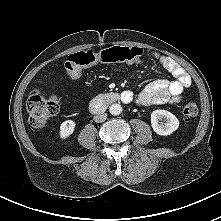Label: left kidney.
<instances>
[{"label": "left kidney", "instance_id": "1", "mask_svg": "<svg viewBox=\"0 0 221 221\" xmlns=\"http://www.w3.org/2000/svg\"><path fill=\"white\" fill-rule=\"evenodd\" d=\"M165 119V123L162 121ZM151 126L158 135L167 136L179 127V120L175 115L166 110H155L151 113Z\"/></svg>", "mask_w": 221, "mask_h": 221}]
</instances>
